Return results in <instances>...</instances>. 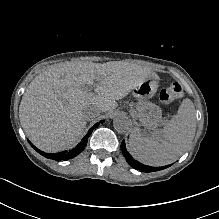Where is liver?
Returning <instances> with one entry per match:
<instances>
[{
    "mask_svg": "<svg viewBox=\"0 0 219 219\" xmlns=\"http://www.w3.org/2000/svg\"><path fill=\"white\" fill-rule=\"evenodd\" d=\"M149 75L144 67L118 62H67L47 67L24 92L19 120L38 149L66 151L81 137L87 116L94 114L95 119L101 112L114 111L117 100ZM81 86L94 87L95 93H86Z\"/></svg>",
    "mask_w": 219,
    "mask_h": 219,
    "instance_id": "1",
    "label": "liver"
}]
</instances>
